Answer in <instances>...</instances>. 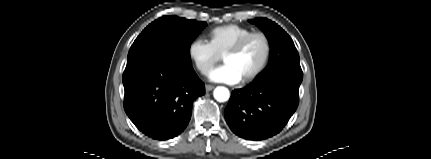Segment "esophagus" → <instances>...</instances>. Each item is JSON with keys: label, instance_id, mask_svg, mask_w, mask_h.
<instances>
[{"label": "esophagus", "instance_id": "1", "mask_svg": "<svg viewBox=\"0 0 431 159\" xmlns=\"http://www.w3.org/2000/svg\"><path fill=\"white\" fill-rule=\"evenodd\" d=\"M205 89H206V91L208 92V91L213 90V89H214V86H212V85H206V86H205Z\"/></svg>", "mask_w": 431, "mask_h": 159}]
</instances>
